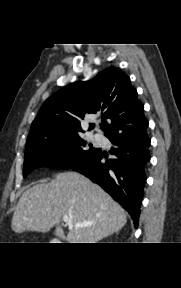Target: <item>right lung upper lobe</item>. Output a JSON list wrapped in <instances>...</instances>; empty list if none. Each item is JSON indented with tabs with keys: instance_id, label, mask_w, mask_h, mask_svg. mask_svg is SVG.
<instances>
[{
	"instance_id": "obj_1",
	"label": "right lung upper lobe",
	"mask_w": 181,
	"mask_h": 288,
	"mask_svg": "<svg viewBox=\"0 0 181 288\" xmlns=\"http://www.w3.org/2000/svg\"><path fill=\"white\" fill-rule=\"evenodd\" d=\"M144 107L131 86L130 78L119 68L100 72L92 81L72 83L49 97L32 123L28 140L51 133H78L86 114H102L109 119L106 137L145 132L148 122ZM94 124H90L89 130Z\"/></svg>"
}]
</instances>
